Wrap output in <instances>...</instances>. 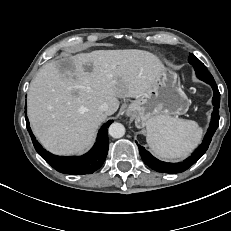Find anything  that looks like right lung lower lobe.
I'll return each instance as SVG.
<instances>
[{"instance_id":"obj_1","label":"right lung lower lobe","mask_w":231,"mask_h":231,"mask_svg":"<svg viewBox=\"0 0 231 231\" xmlns=\"http://www.w3.org/2000/svg\"><path fill=\"white\" fill-rule=\"evenodd\" d=\"M25 119L27 129L36 151L49 165H51L57 171L64 174L74 175L91 174L99 169L104 163L109 149L108 127L111 125L113 120H109L101 127L97 135L96 143L88 153L80 157H60L53 155L42 148V146L38 143L32 134L28 118L26 117Z\"/></svg>"}]
</instances>
